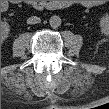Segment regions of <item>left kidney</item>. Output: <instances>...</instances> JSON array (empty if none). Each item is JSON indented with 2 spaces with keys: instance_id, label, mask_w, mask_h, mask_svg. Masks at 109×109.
I'll list each match as a JSON object with an SVG mask.
<instances>
[{
  "instance_id": "obj_1",
  "label": "left kidney",
  "mask_w": 109,
  "mask_h": 109,
  "mask_svg": "<svg viewBox=\"0 0 109 109\" xmlns=\"http://www.w3.org/2000/svg\"><path fill=\"white\" fill-rule=\"evenodd\" d=\"M107 22H108L107 19H103L101 22L102 26L107 27Z\"/></svg>"
}]
</instances>
